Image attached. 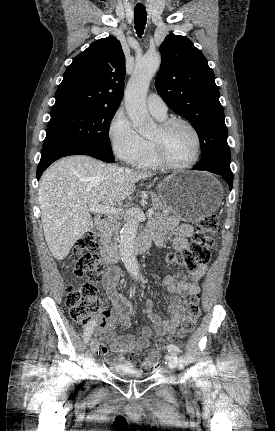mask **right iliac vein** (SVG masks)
Listing matches in <instances>:
<instances>
[{"mask_svg": "<svg viewBox=\"0 0 275 431\" xmlns=\"http://www.w3.org/2000/svg\"><path fill=\"white\" fill-rule=\"evenodd\" d=\"M99 350V341L96 338L91 340V352L93 355H96Z\"/></svg>", "mask_w": 275, "mask_h": 431, "instance_id": "1", "label": "right iliac vein"}]
</instances>
